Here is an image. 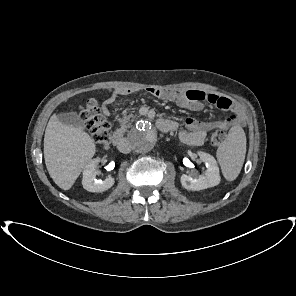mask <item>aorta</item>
Here are the masks:
<instances>
[{"instance_id": "obj_1", "label": "aorta", "mask_w": 296, "mask_h": 296, "mask_svg": "<svg viewBox=\"0 0 296 296\" xmlns=\"http://www.w3.org/2000/svg\"><path fill=\"white\" fill-rule=\"evenodd\" d=\"M128 140L134 151L147 153L158 145L160 135L150 122L139 121L129 132Z\"/></svg>"}]
</instances>
